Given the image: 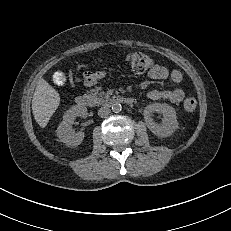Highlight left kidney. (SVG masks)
<instances>
[{
  "instance_id": "left-kidney-1",
  "label": "left kidney",
  "mask_w": 231,
  "mask_h": 231,
  "mask_svg": "<svg viewBox=\"0 0 231 231\" xmlns=\"http://www.w3.org/2000/svg\"><path fill=\"white\" fill-rule=\"evenodd\" d=\"M163 115V123H156L151 117L152 113ZM144 120L148 129L158 137H168L178 128L176 111L166 103H152L144 109Z\"/></svg>"
}]
</instances>
